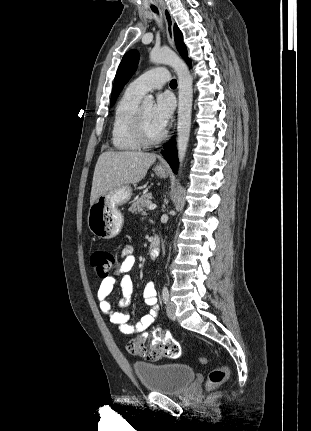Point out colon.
<instances>
[{
	"instance_id": "obj_1",
	"label": "colon",
	"mask_w": 311,
	"mask_h": 431,
	"mask_svg": "<svg viewBox=\"0 0 311 431\" xmlns=\"http://www.w3.org/2000/svg\"><path fill=\"white\" fill-rule=\"evenodd\" d=\"M90 264L95 274L100 278H107L115 264L114 255L104 249H97L90 255ZM127 351L136 356L148 360H157L160 358L177 359L181 355L180 344L171 337L163 339H150L148 337H139L131 340L126 346ZM201 364L207 363L206 357H200ZM228 376V368L223 365L213 369L208 374L207 385L209 388L221 386Z\"/></svg>"
}]
</instances>
